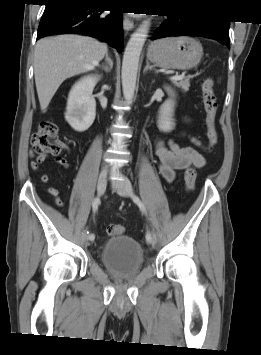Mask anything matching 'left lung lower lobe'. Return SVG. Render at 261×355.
I'll return each mask as SVG.
<instances>
[{"label":"left lung lower lobe","instance_id":"1","mask_svg":"<svg viewBox=\"0 0 261 355\" xmlns=\"http://www.w3.org/2000/svg\"><path fill=\"white\" fill-rule=\"evenodd\" d=\"M228 20L168 15V19L153 33L152 39L169 36H201L230 47Z\"/></svg>","mask_w":261,"mask_h":355}]
</instances>
